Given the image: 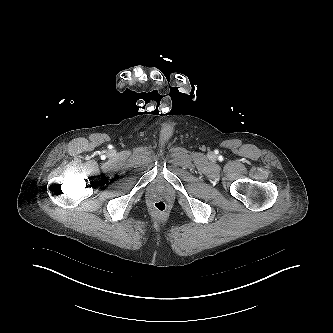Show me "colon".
Wrapping results in <instances>:
<instances>
[{"instance_id":"colon-1","label":"colon","mask_w":333,"mask_h":333,"mask_svg":"<svg viewBox=\"0 0 333 333\" xmlns=\"http://www.w3.org/2000/svg\"><path fill=\"white\" fill-rule=\"evenodd\" d=\"M152 208L158 214H165L168 210V205L164 200L157 199L152 203Z\"/></svg>"}]
</instances>
